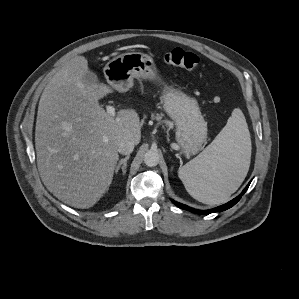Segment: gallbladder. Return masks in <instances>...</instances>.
I'll list each match as a JSON object with an SVG mask.
<instances>
[{"label": "gallbladder", "mask_w": 299, "mask_h": 299, "mask_svg": "<svg viewBox=\"0 0 299 299\" xmlns=\"http://www.w3.org/2000/svg\"><path fill=\"white\" fill-rule=\"evenodd\" d=\"M83 82H84V84H86V85H92V84H97V83H99V80H98V78H97V75L94 73V72H92V71H88L86 74H85V76H84V78H83Z\"/></svg>", "instance_id": "bac80fb5"}]
</instances>
